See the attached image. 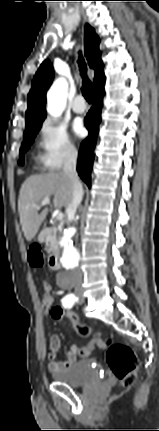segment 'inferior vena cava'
<instances>
[{
	"label": "inferior vena cava",
	"mask_w": 159,
	"mask_h": 431,
	"mask_svg": "<svg viewBox=\"0 0 159 431\" xmlns=\"http://www.w3.org/2000/svg\"><path fill=\"white\" fill-rule=\"evenodd\" d=\"M77 156L78 153L76 149L74 147H70L66 152L63 165L64 174L73 183L72 200L66 208V213L71 220L74 218L77 207L81 203L84 194L82 184L79 181L76 171ZM73 275L75 279V291L80 292L82 284V272L79 268H77L74 270Z\"/></svg>",
	"instance_id": "1"
}]
</instances>
